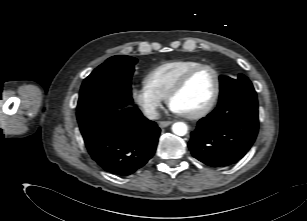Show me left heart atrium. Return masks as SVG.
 <instances>
[{
    "instance_id": "39dd6f15",
    "label": "left heart atrium",
    "mask_w": 307,
    "mask_h": 221,
    "mask_svg": "<svg viewBox=\"0 0 307 221\" xmlns=\"http://www.w3.org/2000/svg\"><path fill=\"white\" fill-rule=\"evenodd\" d=\"M171 110H172L173 112H176L172 107H171Z\"/></svg>"
}]
</instances>
